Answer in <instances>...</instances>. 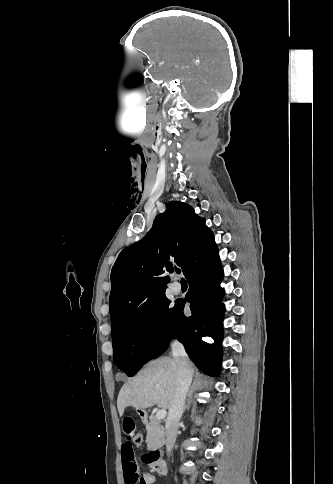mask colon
Instances as JSON below:
<instances>
[{
    "label": "colon",
    "instance_id": "obj_1",
    "mask_svg": "<svg viewBox=\"0 0 333 484\" xmlns=\"http://www.w3.org/2000/svg\"><path fill=\"white\" fill-rule=\"evenodd\" d=\"M133 442L136 446H141L143 444V435L141 433H136L133 437Z\"/></svg>",
    "mask_w": 333,
    "mask_h": 484
}]
</instances>
